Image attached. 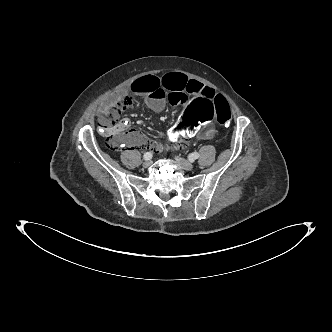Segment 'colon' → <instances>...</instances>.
Returning <instances> with one entry per match:
<instances>
[{
  "instance_id": "obj_1",
  "label": "colon",
  "mask_w": 332,
  "mask_h": 332,
  "mask_svg": "<svg viewBox=\"0 0 332 332\" xmlns=\"http://www.w3.org/2000/svg\"><path fill=\"white\" fill-rule=\"evenodd\" d=\"M131 105L132 99L125 96L110 105L103 115V124L108 133L107 146L111 150H116L122 144V137L118 131L119 118ZM214 116L221 125L230 124V107L223 97L216 96L213 103L202 95H195L187 99L181 105L179 115L169 128L168 141L172 143L175 139H190L202 134Z\"/></svg>"
}]
</instances>
